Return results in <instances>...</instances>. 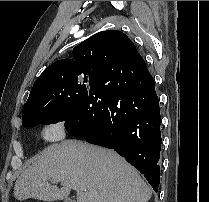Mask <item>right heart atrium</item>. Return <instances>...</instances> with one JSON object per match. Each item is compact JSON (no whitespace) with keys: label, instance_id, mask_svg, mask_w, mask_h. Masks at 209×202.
I'll return each instance as SVG.
<instances>
[{"label":"right heart atrium","instance_id":"d8ad5b80","mask_svg":"<svg viewBox=\"0 0 209 202\" xmlns=\"http://www.w3.org/2000/svg\"><path fill=\"white\" fill-rule=\"evenodd\" d=\"M65 136V124L61 119L43 121L38 128V138L47 143L62 141Z\"/></svg>","mask_w":209,"mask_h":202}]
</instances>
